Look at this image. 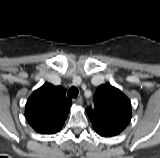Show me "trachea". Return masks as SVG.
I'll return each instance as SVG.
<instances>
[{
    "mask_svg": "<svg viewBox=\"0 0 160 158\" xmlns=\"http://www.w3.org/2000/svg\"><path fill=\"white\" fill-rule=\"evenodd\" d=\"M78 89L76 87H71L69 90H68V97H73V98H77L78 96Z\"/></svg>",
    "mask_w": 160,
    "mask_h": 158,
    "instance_id": "trachea-1",
    "label": "trachea"
}]
</instances>
